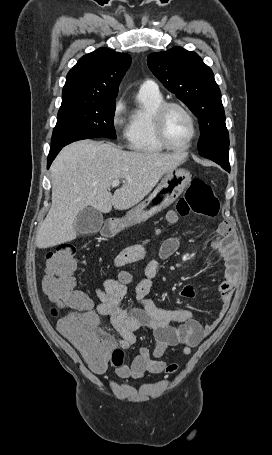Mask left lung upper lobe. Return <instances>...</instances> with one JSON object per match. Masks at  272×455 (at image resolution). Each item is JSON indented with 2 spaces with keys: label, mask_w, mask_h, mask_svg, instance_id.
Wrapping results in <instances>:
<instances>
[{
  "label": "left lung upper lobe",
  "mask_w": 272,
  "mask_h": 455,
  "mask_svg": "<svg viewBox=\"0 0 272 455\" xmlns=\"http://www.w3.org/2000/svg\"><path fill=\"white\" fill-rule=\"evenodd\" d=\"M147 62L153 74L176 94L199 120V153L229 147L221 92L212 70L193 51L174 47L152 53Z\"/></svg>",
  "instance_id": "5c2ea615"
}]
</instances>
